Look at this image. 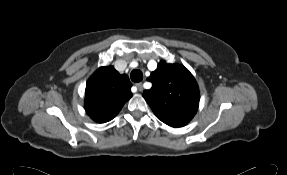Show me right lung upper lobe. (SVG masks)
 <instances>
[{"label":"right lung upper lobe","instance_id":"right-lung-upper-lobe-1","mask_svg":"<svg viewBox=\"0 0 287 175\" xmlns=\"http://www.w3.org/2000/svg\"><path fill=\"white\" fill-rule=\"evenodd\" d=\"M131 82L113 66L100 67L87 81L85 110L98 123L112 120L132 97Z\"/></svg>","mask_w":287,"mask_h":175}]
</instances>
